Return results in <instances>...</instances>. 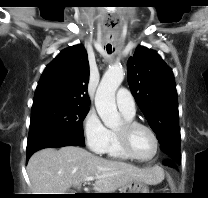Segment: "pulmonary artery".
Segmentation results:
<instances>
[{"instance_id": "obj_1", "label": "pulmonary artery", "mask_w": 208, "mask_h": 198, "mask_svg": "<svg viewBox=\"0 0 208 198\" xmlns=\"http://www.w3.org/2000/svg\"><path fill=\"white\" fill-rule=\"evenodd\" d=\"M116 103L119 110L128 116H134L136 113L135 100L129 90L120 88L116 94Z\"/></svg>"}]
</instances>
